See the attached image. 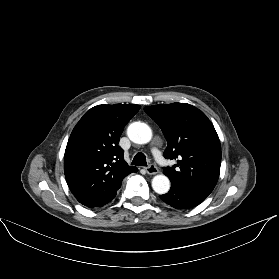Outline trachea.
Returning a JSON list of instances; mask_svg holds the SVG:
<instances>
[{
	"label": "trachea",
	"instance_id": "3493384b",
	"mask_svg": "<svg viewBox=\"0 0 279 279\" xmlns=\"http://www.w3.org/2000/svg\"><path fill=\"white\" fill-rule=\"evenodd\" d=\"M131 164L136 166H146V156L143 153H137Z\"/></svg>",
	"mask_w": 279,
	"mask_h": 279
}]
</instances>
